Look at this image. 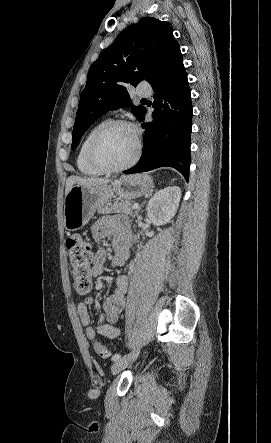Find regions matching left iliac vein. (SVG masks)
I'll return each mask as SVG.
<instances>
[{
  "label": "left iliac vein",
  "mask_w": 271,
  "mask_h": 443,
  "mask_svg": "<svg viewBox=\"0 0 271 443\" xmlns=\"http://www.w3.org/2000/svg\"><path fill=\"white\" fill-rule=\"evenodd\" d=\"M140 349L134 350L128 355L124 356L123 358H120L119 360L115 361L111 366V373L113 375L118 374L123 369H125L128 365L133 363L139 356Z\"/></svg>",
  "instance_id": "4c4485c4"
}]
</instances>
